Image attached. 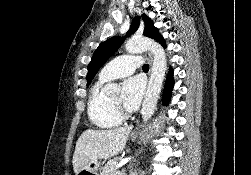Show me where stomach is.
<instances>
[{"mask_svg": "<svg viewBox=\"0 0 251 175\" xmlns=\"http://www.w3.org/2000/svg\"><path fill=\"white\" fill-rule=\"evenodd\" d=\"M159 131V125L154 121V123H151V125H148V127H145L143 133H131L132 139H135L137 135H142L143 139L147 141V139H150L152 135H156ZM102 163L100 159H94V161H90V163H87V165H84L80 171H78L77 175H99L98 171L101 167Z\"/></svg>", "mask_w": 251, "mask_h": 175, "instance_id": "1", "label": "stomach"}]
</instances>
